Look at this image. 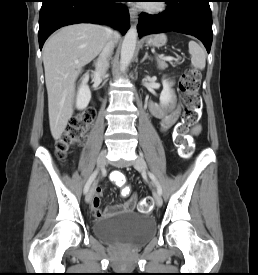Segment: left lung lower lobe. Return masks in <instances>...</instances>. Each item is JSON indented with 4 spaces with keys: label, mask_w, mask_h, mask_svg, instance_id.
I'll use <instances>...</instances> for the list:
<instances>
[{
    "label": "left lung lower lobe",
    "mask_w": 258,
    "mask_h": 275,
    "mask_svg": "<svg viewBox=\"0 0 258 275\" xmlns=\"http://www.w3.org/2000/svg\"><path fill=\"white\" fill-rule=\"evenodd\" d=\"M168 8L161 14L141 13L139 37L152 33L175 31L193 35L210 52L213 32L209 0H167Z\"/></svg>",
    "instance_id": "left-lung-lower-lobe-1"
}]
</instances>
